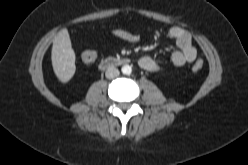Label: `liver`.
Instances as JSON below:
<instances>
[{
    "mask_svg": "<svg viewBox=\"0 0 248 165\" xmlns=\"http://www.w3.org/2000/svg\"><path fill=\"white\" fill-rule=\"evenodd\" d=\"M75 58L68 30L64 28L54 37L51 51L53 70L61 82L66 83L73 77Z\"/></svg>",
    "mask_w": 248,
    "mask_h": 165,
    "instance_id": "obj_1",
    "label": "liver"
}]
</instances>
